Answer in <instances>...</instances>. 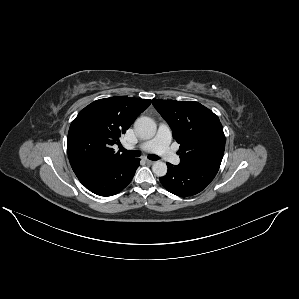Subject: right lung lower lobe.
<instances>
[{
  "instance_id": "98d812e1",
  "label": "right lung lower lobe",
  "mask_w": 299,
  "mask_h": 299,
  "mask_svg": "<svg viewBox=\"0 0 299 299\" xmlns=\"http://www.w3.org/2000/svg\"><path fill=\"white\" fill-rule=\"evenodd\" d=\"M140 159L129 158L103 163L76 173L79 181L91 192L111 196L122 191L132 180Z\"/></svg>"
}]
</instances>
